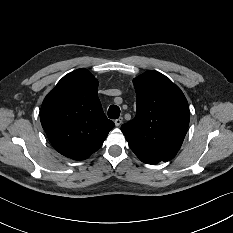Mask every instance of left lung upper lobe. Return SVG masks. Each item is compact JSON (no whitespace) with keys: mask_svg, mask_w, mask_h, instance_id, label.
Segmentation results:
<instances>
[{"mask_svg":"<svg viewBox=\"0 0 233 233\" xmlns=\"http://www.w3.org/2000/svg\"><path fill=\"white\" fill-rule=\"evenodd\" d=\"M133 84L136 116L121 130L132 150L169 161L179 151L187 132V100L178 86L156 71L138 76Z\"/></svg>","mask_w":233,"mask_h":233,"instance_id":"5c2ea615","label":"left lung upper lobe"}]
</instances>
